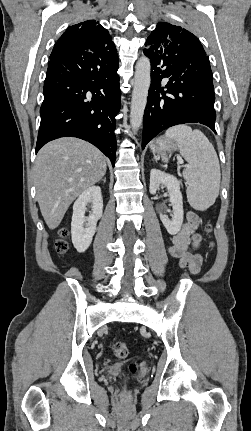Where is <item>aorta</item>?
Masks as SVG:
<instances>
[{
	"mask_svg": "<svg viewBox=\"0 0 251 431\" xmlns=\"http://www.w3.org/2000/svg\"><path fill=\"white\" fill-rule=\"evenodd\" d=\"M150 82V60L142 56L135 66L134 88L130 108V124L133 131H137L142 124Z\"/></svg>",
	"mask_w": 251,
	"mask_h": 431,
	"instance_id": "aorta-1",
	"label": "aorta"
}]
</instances>
